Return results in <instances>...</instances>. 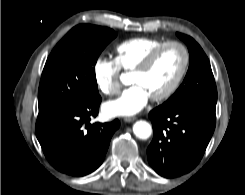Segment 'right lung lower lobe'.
<instances>
[{
    "label": "right lung lower lobe",
    "instance_id": "right-lung-lower-lobe-1",
    "mask_svg": "<svg viewBox=\"0 0 245 195\" xmlns=\"http://www.w3.org/2000/svg\"><path fill=\"white\" fill-rule=\"evenodd\" d=\"M101 97L84 105L39 113L35 132L50 164L71 176H84L103 162L119 120L89 123L99 111ZM86 129V130H85Z\"/></svg>",
    "mask_w": 245,
    "mask_h": 195
}]
</instances>
